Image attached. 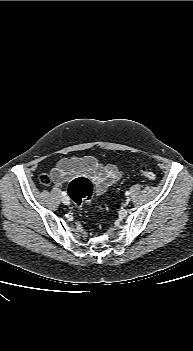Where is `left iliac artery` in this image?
<instances>
[{"instance_id": "1", "label": "left iliac artery", "mask_w": 193, "mask_h": 351, "mask_svg": "<svg viewBox=\"0 0 193 351\" xmlns=\"http://www.w3.org/2000/svg\"><path fill=\"white\" fill-rule=\"evenodd\" d=\"M125 195H126V196L130 195V192H129V191H126V192H125Z\"/></svg>"}]
</instances>
